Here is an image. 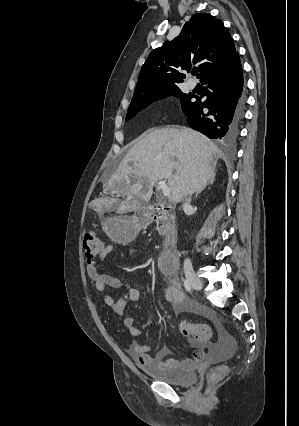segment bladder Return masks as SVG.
<instances>
[{"label":"bladder","instance_id":"1","mask_svg":"<svg viewBox=\"0 0 299 426\" xmlns=\"http://www.w3.org/2000/svg\"><path fill=\"white\" fill-rule=\"evenodd\" d=\"M142 371L148 376L171 385L189 386L196 382L197 373L194 370L159 369L153 366L141 365Z\"/></svg>","mask_w":299,"mask_h":426}]
</instances>
